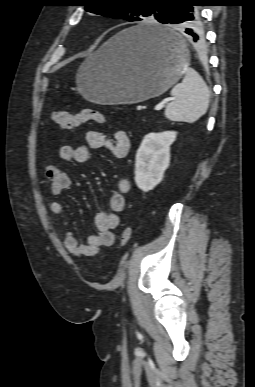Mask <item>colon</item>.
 I'll return each mask as SVG.
<instances>
[{
  "label": "colon",
  "mask_w": 255,
  "mask_h": 387,
  "mask_svg": "<svg viewBox=\"0 0 255 387\" xmlns=\"http://www.w3.org/2000/svg\"><path fill=\"white\" fill-rule=\"evenodd\" d=\"M53 122L63 129H73L85 122L93 121L98 124H105L107 118L100 111L95 109H82L77 113H70L65 110H55L52 113ZM131 240V230L126 228L120 235L122 245H127Z\"/></svg>",
  "instance_id": "colon-1"
}]
</instances>
